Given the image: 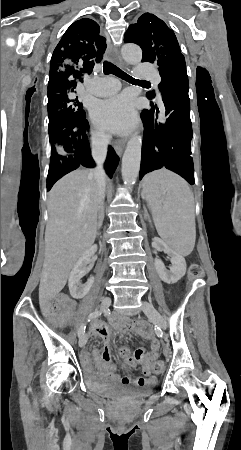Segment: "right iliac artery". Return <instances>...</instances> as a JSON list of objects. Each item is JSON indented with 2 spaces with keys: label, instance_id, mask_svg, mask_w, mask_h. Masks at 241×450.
Returning <instances> with one entry per match:
<instances>
[{
  "label": "right iliac artery",
  "instance_id": "obj_1",
  "mask_svg": "<svg viewBox=\"0 0 241 450\" xmlns=\"http://www.w3.org/2000/svg\"><path fill=\"white\" fill-rule=\"evenodd\" d=\"M100 315H101V311H94V312H92V313L89 315L88 322H89L90 320H92V319H95V318L99 317ZM85 329H86V325H83V326H81V327L79 328V330H78V336H79V337H81V336L84 334Z\"/></svg>",
  "mask_w": 241,
  "mask_h": 450
}]
</instances>
